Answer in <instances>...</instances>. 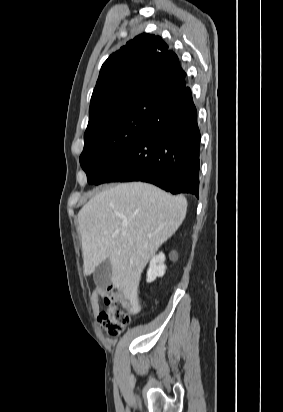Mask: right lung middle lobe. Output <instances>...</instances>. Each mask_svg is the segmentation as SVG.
<instances>
[{
    "mask_svg": "<svg viewBox=\"0 0 283 412\" xmlns=\"http://www.w3.org/2000/svg\"><path fill=\"white\" fill-rule=\"evenodd\" d=\"M162 108L159 103L135 104L94 123L85 132L80 164L89 184L123 156Z\"/></svg>",
    "mask_w": 283,
    "mask_h": 412,
    "instance_id": "right-lung-middle-lobe-1",
    "label": "right lung middle lobe"
}]
</instances>
